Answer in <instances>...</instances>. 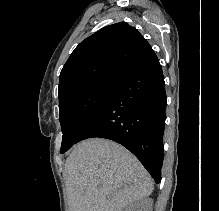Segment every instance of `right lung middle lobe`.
<instances>
[{
  "mask_svg": "<svg viewBox=\"0 0 219 211\" xmlns=\"http://www.w3.org/2000/svg\"><path fill=\"white\" fill-rule=\"evenodd\" d=\"M116 85L98 84L59 101L63 132L60 153L69 150L80 133L103 107Z\"/></svg>",
  "mask_w": 219,
  "mask_h": 211,
  "instance_id": "1",
  "label": "right lung middle lobe"
}]
</instances>
